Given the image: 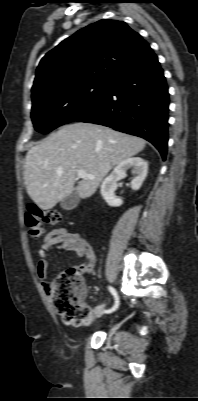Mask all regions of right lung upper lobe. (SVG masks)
Listing matches in <instances>:
<instances>
[{"mask_svg": "<svg viewBox=\"0 0 198 401\" xmlns=\"http://www.w3.org/2000/svg\"><path fill=\"white\" fill-rule=\"evenodd\" d=\"M149 50V44L125 22L103 19L93 23L42 58L32 87V101L86 82H109Z\"/></svg>", "mask_w": 198, "mask_h": 401, "instance_id": "right-lung-upper-lobe-1", "label": "right lung upper lobe"}]
</instances>
